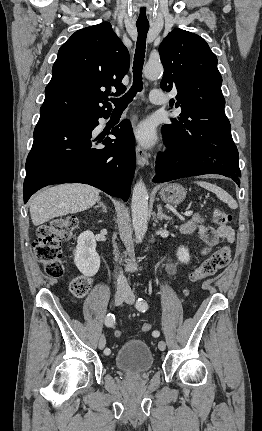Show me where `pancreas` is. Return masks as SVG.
I'll use <instances>...</instances> for the list:
<instances>
[{"mask_svg": "<svg viewBox=\"0 0 262 431\" xmlns=\"http://www.w3.org/2000/svg\"><path fill=\"white\" fill-rule=\"evenodd\" d=\"M193 221H194V222H199V218H198V216H194V217H193Z\"/></svg>", "mask_w": 262, "mask_h": 431, "instance_id": "obj_1", "label": "pancreas"}]
</instances>
